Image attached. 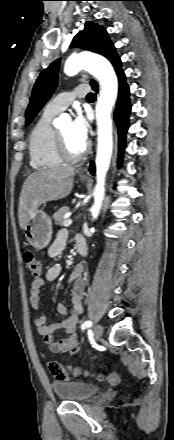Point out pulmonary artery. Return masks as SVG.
Segmentation results:
<instances>
[{"label":"pulmonary artery","mask_w":174,"mask_h":440,"mask_svg":"<svg viewBox=\"0 0 174 440\" xmlns=\"http://www.w3.org/2000/svg\"><path fill=\"white\" fill-rule=\"evenodd\" d=\"M88 94L89 86L80 84L73 91L64 92L54 97L47 103L45 110L55 114L60 113L65 110L75 98H81Z\"/></svg>","instance_id":"1"}]
</instances>
